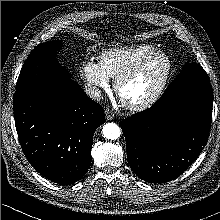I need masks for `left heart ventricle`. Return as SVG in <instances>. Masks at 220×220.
Segmentation results:
<instances>
[{
  "label": "left heart ventricle",
  "instance_id": "b2bd125f",
  "mask_svg": "<svg viewBox=\"0 0 220 220\" xmlns=\"http://www.w3.org/2000/svg\"><path fill=\"white\" fill-rule=\"evenodd\" d=\"M167 68L164 57L150 59L139 74L128 81L121 90L122 98L127 102H136L148 96L159 83Z\"/></svg>",
  "mask_w": 220,
  "mask_h": 220
}]
</instances>
